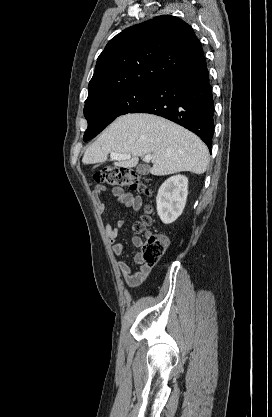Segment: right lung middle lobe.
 <instances>
[{
    "label": "right lung middle lobe",
    "mask_w": 272,
    "mask_h": 417,
    "mask_svg": "<svg viewBox=\"0 0 272 417\" xmlns=\"http://www.w3.org/2000/svg\"><path fill=\"white\" fill-rule=\"evenodd\" d=\"M158 86L159 84L134 86L87 102L84 115L88 128L84 133V141L95 137L118 116L132 113L154 94Z\"/></svg>",
    "instance_id": "obj_1"
}]
</instances>
